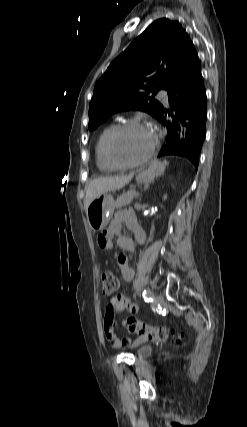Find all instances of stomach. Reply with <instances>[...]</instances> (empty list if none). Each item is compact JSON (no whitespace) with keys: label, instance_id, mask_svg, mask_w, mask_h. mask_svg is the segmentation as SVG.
Returning <instances> with one entry per match:
<instances>
[{"label":"stomach","instance_id":"stomach-1","mask_svg":"<svg viewBox=\"0 0 247 427\" xmlns=\"http://www.w3.org/2000/svg\"><path fill=\"white\" fill-rule=\"evenodd\" d=\"M164 166L157 162V166H150L149 169L141 171L136 181L139 184H148L155 177L161 175ZM115 208L114 198L111 194L105 192L96 197L86 210L89 227L93 231H100L108 224Z\"/></svg>","mask_w":247,"mask_h":427}]
</instances>
